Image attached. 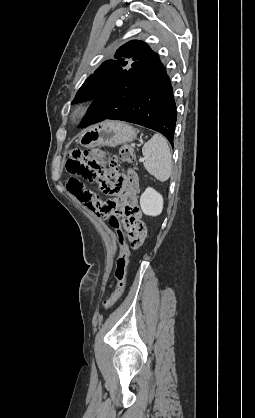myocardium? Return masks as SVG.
<instances>
[{
  "label": "myocardium",
  "mask_w": 255,
  "mask_h": 418,
  "mask_svg": "<svg viewBox=\"0 0 255 418\" xmlns=\"http://www.w3.org/2000/svg\"><path fill=\"white\" fill-rule=\"evenodd\" d=\"M85 113V111L83 110L82 112H81V114H84Z\"/></svg>",
  "instance_id": "f54148a6"
}]
</instances>
